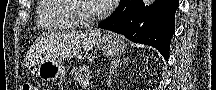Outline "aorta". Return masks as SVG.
<instances>
[{
	"instance_id": "obj_1",
	"label": "aorta",
	"mask_w": 216,
	"mask_h": 90,
	"mask_svg": "<svg viewBox=\"0 0 216 90\" xmlns=\"http://www.w3.org/2000/svg\"><path fill=\"white\" fill-rule=\"evenodd\" d=\"M144 6H150V4H153L154 0H142Z\"/></svg>"
}]
</instances>
